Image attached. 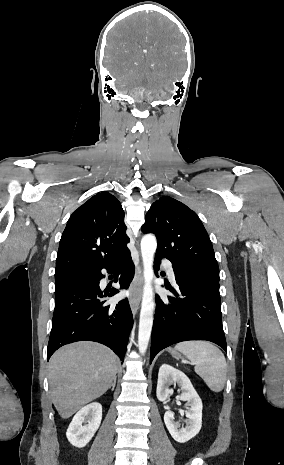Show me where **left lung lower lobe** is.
<instances>
[{"instance_id": "left-lung-lower-lobe-1", "label": "left lung lower lobe", "mask_w": 284, "mask_h": 465, "mask_svg": "<svg viewBox=\"0 0 284 465\" xmlns=\"http://www.w3.org/2000/svg\"><path fill=\"white\" fill-rule=\"evenodd\" d=\"M162 256L156 254L155 273ZM175 289L166 286L175 297H156L150 363L162 349L187 340H207L227 352L222 326L219 282L196 272L173 266ZM157 277H159L157 275Z\"/></svg>"}]
</instances>
